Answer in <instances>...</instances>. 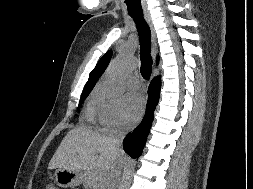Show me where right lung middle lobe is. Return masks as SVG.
Instances as JSON below:
<instances>
[{
	"mask_svg": "<svg viewBox=\"0 0 253 189\" xmlns=\"http://www.w3.org/2000/svg\"><path fill=\"white\" fill-rule=\"evenodd\" d=\"M90 92H91V90L83 91L82 97H81V103L79 104V107L81 106V104L83 103V101H84L85 98L89 95Z\"/></svg>",
	"mask_w": 253,
	"mask_h": 189,
	"instance_id": "obj_1",
	"label": "right lung middle lobe"
}]
</instances>
